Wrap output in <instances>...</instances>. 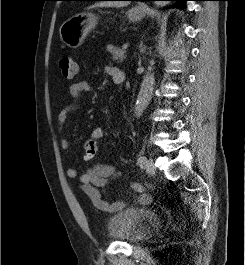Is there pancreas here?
<instances>
[{
    "label": "pancreas",
    "mask_w": 245,
    "mask_h": 265,
    "mask_svg": "<svg viewBox=\"0 0 245 265\" xmlns=\"http://www.w3.org/2000/svg\"><path fill=\"white\" fill-rule=\"evenodd\" d=\"M108 52L111 53L112 60L116 61L117 63L122 62L126 58V51L118 47L111 48L110 46H108Z\"/></svg>",
    "instance_id": "pancreas-1"
}]
</instances>
